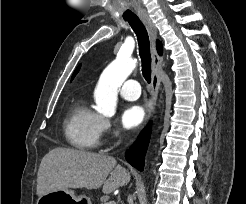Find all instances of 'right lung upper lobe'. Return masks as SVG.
<instances>
[{"instance_id": "right-lung-upper-lobe-1", "label": "right lung upper lobe", "mask_w": 246, "mask_h": 204, "mask_svg": "<svg viewBox=\"0 0 246 204\" xmlns=\"http://www.w3.org/2000/svg\"><path fill=\"white\" fill-rule=\"evenodd\" d=\"M157 50H158V53L161 55L162 54V44L161 42L157 41ZM80 66H78V68L76 69V71L74 72L73 76H72V79L74 78V76L76 75V73L78 72Z\"/></svg>"}]
</instances>
